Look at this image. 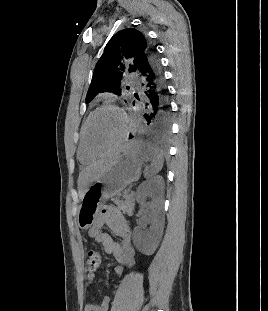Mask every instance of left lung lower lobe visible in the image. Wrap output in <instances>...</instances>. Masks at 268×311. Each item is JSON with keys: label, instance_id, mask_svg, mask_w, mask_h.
<instances>
[{"label": "left lung lower lobe", "instance_id": "0a47b994", "mask_svg": "<svg viewBox=\"0 0 268 311\" xmlns=\"http://www.w3.org/2000/svg\"><path fill=\"white\" fill-rule=\"evenodd\" d=\"M143 112L130 142L168 141L171 121L169 98L161 63L149 46L148 60L139 64Z\"/></svg>", "mask_w": 268, "mask_h": 311}]
</instances>
